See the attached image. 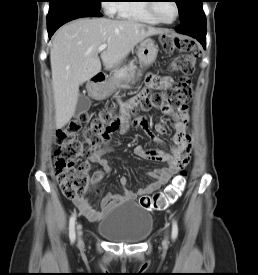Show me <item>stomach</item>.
<instances>
[{"label": "stomach", "mask_w": 258, "mask_h": 275, "mask_svg": "<svg viewBox=\"0 0 258 275\" xmlns=\"http://www.w3.org/2000/svg\"><path fill=\"white\" fill-rule=\"evenodd\" d=\"M158 54V45L150 38L144 39L137 50L141 69L147 68L154 63ZM140 75V71H139ZM129 82V81H125ZM112 92L110 82L97 84L91 91L92 96L97 100L105 99Z\"/></svg>", "instance_id": "0dacf381"}]
</instances>
